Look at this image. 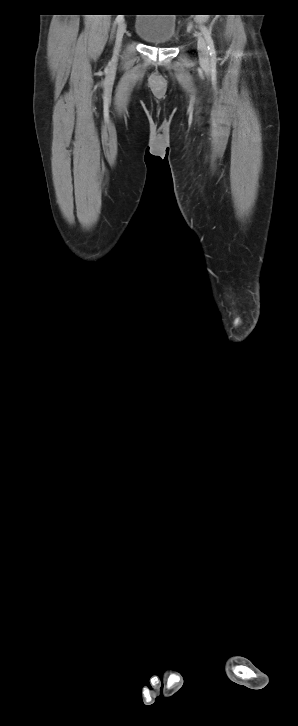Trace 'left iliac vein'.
<instances>
[{"mask_svg": "<svg viewBox=\"0 0 298 726\" xmlns=\"http://www.w3.org/2000/svg\"><path fill=\"white\" fill-rule=\"evenodd\" d=\"M197 49L201 62L207 63L209 60L207 43L201 35L198 36Z\"/></svg>", "mask_w": 298, "mask_h": 726, "instance_id": "4c4485c4", "label": "left iliac vein"}]
</instances>
